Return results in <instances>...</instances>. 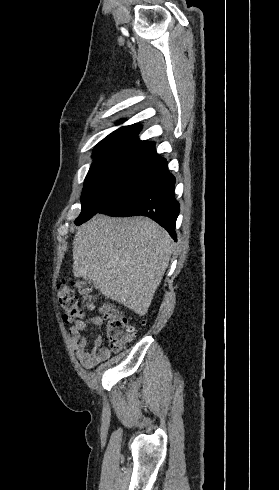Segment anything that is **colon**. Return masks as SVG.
Listing matches in <instances>:
<instances>
[{"mask_svg": "<svg viewBox=\"0 0 279 490\" xmlns=\"http://www.w3.org/2000/svg\"><path fill=\"white\" fill-rule=\"evenodd\" d=\"M79 295L90 311H98L107 322L105 333L109 340V347L113 351H123L136 334V327L129 324L123 312L110 305L101 304L92 294L89 283L77 282ZM57 300L63 311L65 323H72L84 317L85 312L79 305V298L75 294L69 281L61 280L58 283Z\"/></svg>", "mask_w": 279, "mask_h": 490, "instance_id": "1", "label": "colon"}]
</instances>
